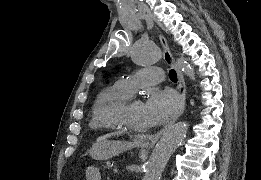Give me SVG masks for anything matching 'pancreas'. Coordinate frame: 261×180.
<instances>
[{"label":"pancreas","mask_w":261,"mask_h":180,"mask_svg":"<svg viewBox=\"0 0 261 180\" xmlns=\"http://www.w3.org/2000/svg\"><path fill=\"white\" fill-rule=\"evenodd\" d=\"M110 163H111L110 159H105L104 163H103V169L104 170H109L110 169Z\"/></svg>","instance_id":"1"}]
</instances>
